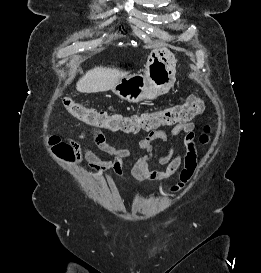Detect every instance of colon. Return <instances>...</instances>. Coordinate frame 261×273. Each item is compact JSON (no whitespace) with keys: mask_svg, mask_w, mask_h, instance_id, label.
Listing matches in <instances>:
<instances>
[{"mask_svg":"<svg viewBox=\"0 0 261 273\" xmlns=\"http://www.w3.org/2000/svg\"><path fill=\"white\" fill-rule=\"evenodd\" d=\"M63 105L70 114L85 124L105 128L111 131L124 132L152 130L161 126L186 123L201 115L205 109L204 101L197 94L190 95L181 104L155 112L131 116L111 115L104 111L87 108L70 98H64ZM210 131L211 129L209 126L204 128L203 133L199 138L201 144L208 143ZM48 145L50 146L53 156L59 161L67 163L74 161L75 157L72 146L61 136L50 135L48 138Z\"/></svg>","mask_w":261,"mask_h":273,"instance_id":"obj_1","label":"colon"}]
</instances>
